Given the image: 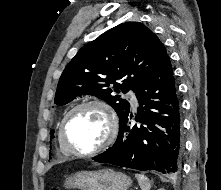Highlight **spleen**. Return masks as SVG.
Masks as SVG:
<instances>
[{
	"label": "spleen",
	"instance_id": "3e777b00",
	"mask_svg": "<svg viewBox=\"0 0 221 190\" xmlns=\"http://www.w3.org/2000/svg\"><path fill=\"white\" fill-rule=\"evenodd\" d=\"M141 190H150L151 184L149 179L143 174H135Z\"/></svg>",
	"mask_w": 221,
	"mask_h": 190
}]
</instances>
